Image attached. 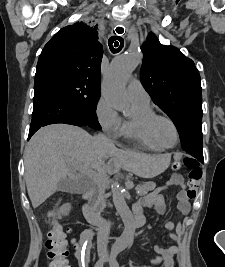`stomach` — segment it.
<instances>
[{
  "label": "stomach",
  "instance_id": "stomach-1",
  "mask_svg": "<svg viewBox=\"0 0 225 267\" xmlns=\"http://www.w3.org/2000/svg\"><path fill=\"white\" fill-rule=\"evenodd\" d=\"M169 157L167 155H159L150 158L144 165L145 177H154L162 173L169 165Z\"/></svg>",
  "mask_w": 225,
  "mask_h": 267
}]
</instances>
